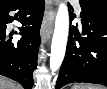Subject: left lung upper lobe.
<instances>
[{"instance_id":"1","label":"left lung upper lobe","mask_w":107,"mask_h":89,"mask_svg":"<svg viewBox=\"0 0 107 89\" xmlns=\"http://www.w3.org/2000/svg\"><path fill=\"white\" fill-rule=\"evenodd\" d=\"M80 5L97 10L107 11V0H79Z\"/></svg>"}]
</instances>
